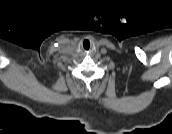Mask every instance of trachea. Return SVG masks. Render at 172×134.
Listing matches in <instances>:
<instances>
[{"label":"trachea","instance_id":"1","mask_svg":"<svg viewBox=\"0 0 172 134\" xmlns=\"http://www.w3.org/2000/svg\"><path fill=\"white\" fill-rule=\"evenodd\" d=\"M85 42H88L87 40L86 41H84V44H85ZM88 45H89V42H88Z\"/></svg>","mask_w":172,"mask_h":134}]
</instances>
